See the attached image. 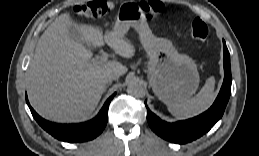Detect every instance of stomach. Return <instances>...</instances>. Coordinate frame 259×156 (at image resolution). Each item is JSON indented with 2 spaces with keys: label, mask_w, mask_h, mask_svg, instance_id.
<instances>
[{
  "label": "stomach",
  "mask_w": 259,
  "mask_h": 156,
  "mask_svg": "<svg viewBox=\"0 0 259 156\" xmlns=\"http://www.w3.org/2000/svg\"><path fill=\"white\" fill-rule=\"evenodd\" d=\"M131 26L139 31L141 43L149 56L148 78L156 96L166 105L188 100L200 81L194 60L179 54L169 40L155 37L140 9L132 3H125L113 31L125 34Z\"/></svg>",
  "instance_id": "obj_1"
}]
</instances>
